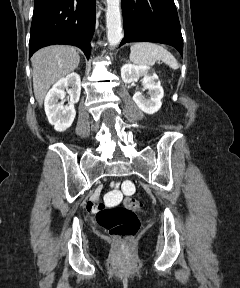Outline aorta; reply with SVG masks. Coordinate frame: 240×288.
Masks as SVG:
<instances>
[{
  "instance_id": "aorta-1",
  "label": "aorta",
  "mask_w": 240,
  "mask_h": 288,
  "mask_svg": "<svg viewBox=\"0 0 240 288\" xmlns=\"http://www.w3.org/2000/svg\"><path fill=\"white\" fill-rule=\"evenodd\" d=\"M106 28L110 47H116L123 38L120 0H107Z\"/></svg>"
}]
</instances>
